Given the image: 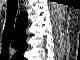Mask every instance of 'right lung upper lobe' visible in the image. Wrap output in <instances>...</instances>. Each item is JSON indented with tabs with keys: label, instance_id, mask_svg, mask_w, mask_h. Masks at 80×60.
Returning <instances> with one entry per match:
<instances>
[{
	"label": "right lung upper lobe",
	"instance_id": "obj_1",
	"mask_svg": "<svg viewBox=\"0 0 80 60\" xmlns=\"http://www.w3.org/2000/svg\"><path fill=\"white\" fill-rule=\"evenodd\" d=\"M27 25V13L22 12L17 18L14 36L12 39V46L17 49V55L19 56H22L23 52L27 47V44L25 42L27 38L25 33Z\"/></svg>",
	"mask_w": 80,
	"mask_h": 60
}]
</instances>
